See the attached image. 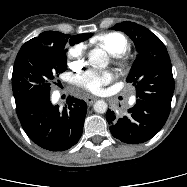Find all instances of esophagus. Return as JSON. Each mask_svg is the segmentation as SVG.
<instances>
[{
  "instance_id": "esophagus-1",
  "label": "esophagus",
  "mask_w": 187,
  "mask_h": 187,
  "mask_svg": "<svg viewBox=\"0 0 187 187\" xmlns=\"http://www.w3.org/2000/svg\"><path fill=\"white\" fill-rule=\"evenodd\" d=\"M96 100H97V98H95V97H87L85 99L87 105H89V106H91Z\"/></svg>"
}]
</instances>
